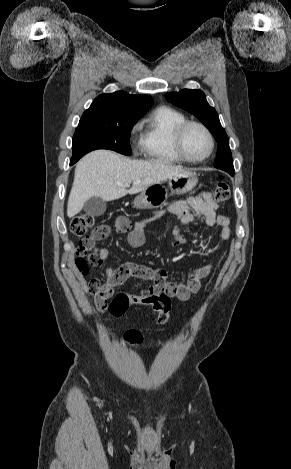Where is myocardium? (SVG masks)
I'll use <instances>...</instances> for the list:
<instances>
[{
  "label": "myocardium",
  "instance_id": "obj_1",
  "mask_svg": "<svg viewBox=\"0 0 291 469\" xmlns=\"http://www.w3.org/2000/svg\"><path fill=\"white\" fill-rule=\"evenodd\" d=\"M192 126L199 127L201 130H203L204 133L207 135V137L209 139V143H210L209 151L205 156H203L201 158H192V157H190L186 153L185 148H184L185 134H186L187 130ZM173 143H174L175 152L177 153L179 158L182 161L192 163V164H199V163H202V162L206 161L213 154V151H214V148H215V140H214V137H213V134L211 133V131L203 123L198 122V121H194V120H186V121L182 122L181 124H179L176 127V129L174 131V135H173Z\"/></svg>",
  "mask_w": 291,
  "mask_h": 469
}]
</instances>
